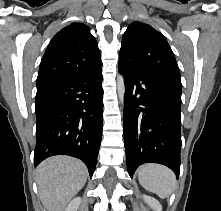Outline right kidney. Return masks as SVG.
I'll list each match as a JSON object with an SVG mask.
<instances>
[{"mask_svg": "<svg viewBox=\"0 0 221 211\" xmlns=\"http://www.w3.org/2000/svg\"><path fill=\"white\" fill-rule=\"evenodd\" d=\"M80 204H81V198L76 197L68 204L65 211H77Z\"/></svg>", "mask_w": 221, "mask_h": 211, "instance_id": "ca27d5eb", "label": "right kidney"}]
</instances>
